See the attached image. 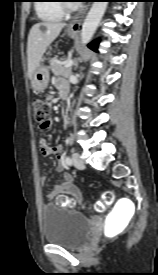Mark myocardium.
<instances>
[{
  "label": "myocardium",
  "instance_id": "myocardium-1",
  "mask_svg": "<svg viewBox=\"0 0 158 275\" xmlns=\"http://www.w3.org/2000/svg\"><path fill=\"white\" fill-rule=\"evenodd\" d=\"M62 8L64 11H67V12H70V11H73L76 9V7L74 5L69 4V3H63Z\"/></svg>",
  "mask_w": 158,
  "mask_h": 275
}]
</instances>
